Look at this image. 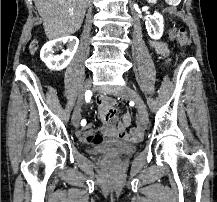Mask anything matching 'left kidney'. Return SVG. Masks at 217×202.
<instances>
[{
  "label": "left kidney",
  "mask_w": 217,
  "mask_h": 202,
  "mask_svg": "<svg viewBox=\"0 0 217 202\" xmlns=\"http://www.w3.org/2000/svg\"><path fill=\"white\" fill-rule=\"evenodd\" d=\"M145 26L152 40H160V38H162L164 32V18L159 12H155L153 20H146Z\"/></svg>",
  "instance_id": "5707ae66"
}]
</instances>
